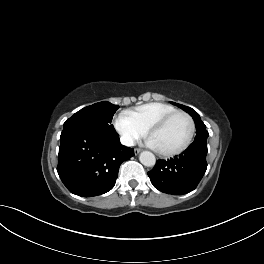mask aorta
<instances>
[{
	"label": "aorta",
	"instance_id": "1",
	"mask_svg": "<svg viewBox=\"0 0 264 264\" xmlns=\"http://www.w3.org/2000/svg\"><path fill=\"white\" fill-rule=\"evenodd\" d=\"M139 161L146 167H153L156 163V158L152 152L143 151L139 156Z\"/></svg>",
	"mask_w": 264,
	"mask_h": 264
}]
</instances>
